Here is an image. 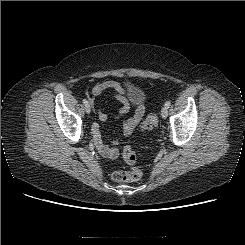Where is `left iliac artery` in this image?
<instances>
[{
  "label": "left iliac artery",
  "mask_w": 245,
  "mask_h": 245,
  "mask_svg": "<svg viewBox=\"0 0 245 245\" xmlns=\"http://www.w3.org/2000/svg\"><path fill=\"white\" fill-rule=\"evenodd\" d=\"M170 105H171V101L170 100L165 103V107H167V108H169Z\"/></svg>",
  "instance_id": "44dca946"
}]
</instances>
